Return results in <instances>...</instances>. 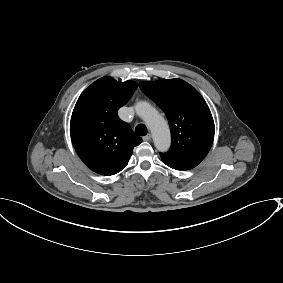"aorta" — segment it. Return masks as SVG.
I'll return each instance as SVG.
<instances>
[{
  "instance_id": "1",
  "label": "aorta",
  "mask_w": 283,
  "mask_h": 283,
  "mask_svg": "<svg viewBox=\"0 0 283 283\" xmlns=\"http://www.w3.org/2000/svg\"><path fill=\"white\" fill-rule=\"evenodd\" d=\"M135 110L150 128L155 147L161 152L167 151L171 144L167 121L146 101L138 102Z\"/></svg>"
}]
</instances>
